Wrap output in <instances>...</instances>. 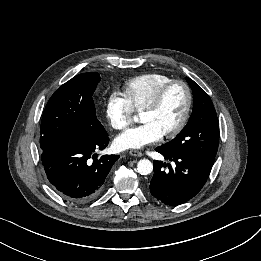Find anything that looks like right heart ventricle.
<instances>
[{"label":"right heart ventricle","instance_id":"1","mask_svg":"<svg viewBox=\"0 0 261 261\" xmlns=\"http://www.w3.org/2000/svg\"><path fill=\"white\" fill-rule=\"evenodd\" d=\"M170 81L172 78L164 74H142L125 83L124 96L134 110L141 112L154 100L159 90Z\"/></svg>","mask_w":261,"mask_h":261}]
</instances>
